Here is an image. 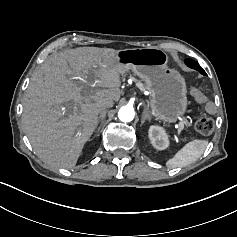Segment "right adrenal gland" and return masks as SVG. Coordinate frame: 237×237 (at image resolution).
<instances>
[{"mask_svg":"<svg viewBox=\"0 0 237 237\" xmlns=\"http://www.w3.org/2000/svg\"><path fill=\"white\" fill-rule=\"evenodd\" d=\"M106 113H107L106 110H103V111L100 113V116H99V118H98V122L102 121V124H104V119H105ZM100 128H101V126L98 127V131L100 130Z\"/></svg>","mask_w":237,"mask_h":237,"instance_id":"obj_1","label":"right adrenal gland"}]
</instances>
